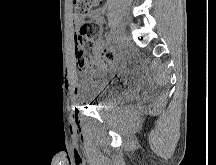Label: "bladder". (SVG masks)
Listing matches in <instances>:
<instances>
[{"label": "bladder", "mask_w": 216, "mask_h": 165, "mask_svg": "<svg viewBox=\"0 0 216 165\" xmlns=\"http://www.w3.org/2000/svg\"><path fill=\"white\" fill-rule=\"evenodd\" d=\"M119 76H96V80L91 81L90 92L87 100L94 101L96 111H107L113 103V94H119Z\"/></svg>", "instance_id": "obj_1"}]
</instances>
